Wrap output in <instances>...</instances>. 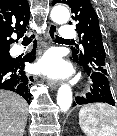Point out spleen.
<instances>
[{"instance_id":"3e777b00","label":"spleen","mask_w":117,"mask_h":136,"mask_svg":"<svg viewBox=\"0 0 117 136\" xmlns=\"http://www.w3.org/2000/svg\"><path fill=\"white\" fill-rule=\"evenodd\" d=\"M79 124L87 136H117V112L105 103L84 105Z\"/></svg>"}]
</instances>
